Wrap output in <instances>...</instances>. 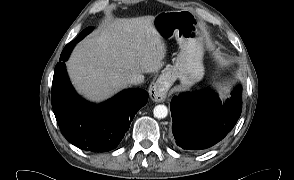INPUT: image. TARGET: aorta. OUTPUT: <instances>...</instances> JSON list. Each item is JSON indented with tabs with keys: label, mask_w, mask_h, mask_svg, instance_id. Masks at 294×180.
I'll return each instance as SVG.
<instances>
[{
	"label": "aorta",
	"mask_w": 294,
	"mask_h": 180,
	"mask_svg": "<svg viewBox=\"0 0 294 180\" xmlns=\"http://www.w3.org/2000/svg\"><path fill=\"white\" fill-rule=\"evenodd\" d=\"M153 114L158 119H163L168 115V109L165 105H157L153 110Z\"/></svg>",
	"instance_id": "1"
}]
</instances>
